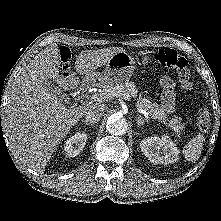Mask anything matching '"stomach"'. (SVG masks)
I'll return each mask as SVG.
<instances>
[{
  "instance_id": "1",
  "label": "stomach",
  "mask_w": 221,
  "mask_h": 221,
  "mask_svg": "<svg viewBox=\"0 0 221 221\" xmlns=\"http://www.w3.org/2000/svg\"><path fill=\"white\" fill-rule=\"evenodd\" d=\"M146 53L143 54V62H147ZM135 69V59L125 51L115 53L106 63L102 73H98L96 78L102 86L106 84H121L128 81Z\"/></svg>"
}]
</instances>
